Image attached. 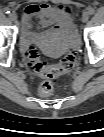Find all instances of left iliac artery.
Instances as JSON below:
<instances>
[{"label": "left iliac artery", "instance_id": "44dca946", "mask_svg": "<svg viewBox=\"0 0 104 137\" xmlns=\"http://www.w3.org/2000/svg\"><path fill=\"white\" fill-rule=\"evenodd\" d=\"M88 13H89L90 15H93V14L95 13L94 8L90 7V8L88 9Z\"/></svg>", "mask_w": 104, "mask_h": 137}]
</instances>
